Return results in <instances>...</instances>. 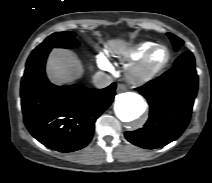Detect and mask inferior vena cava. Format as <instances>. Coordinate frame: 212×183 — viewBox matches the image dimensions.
<instances>
[{"label": "inferior vena cava", "mask_w": 212, "mask_h": 183, "mask_svg": "<svg viewBox=\"0 0 212 183\" xmlns=\"http://www.w3.org/2000/svg\"><path fill=\"white\" fill-rule=\"evenodd\" d=\"M93 83L97 88H105L112 83V78L104 72H97L93 76Z\"/></svg>", "instance_id": "1"}]
</instances>
